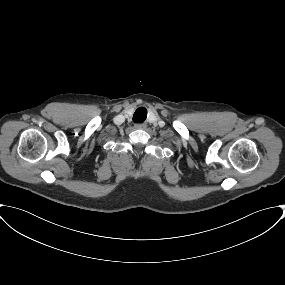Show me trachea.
I'll list each match as a JSON object with an SVG mask.
<instances>
[{"mask_svg": "<svg viewBox=\"0 0 285 285\" xmlns=\"http://www.w3.org/2000/svg\"><path fill=\"white\" fill-rule=\"evenodd\" d=\"M147 118V109L145 107H139L134 115H133V121L135 123H142Z\"/></svg>", "mask_w": 285, "mask_h": 285, "instance_id": "1", "label": "trachea"}]
</instances>
